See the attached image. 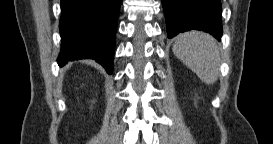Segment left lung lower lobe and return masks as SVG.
<instances>
[{"mask_svg":"<svg viewBox=\"0 0 273 144\" xmlns=\"http://www.w3.org/2000/svg\"><path fill=\"white\" fill-rule=\"evenodd\" d=\"M162 4L168 38L189 30H202L221 40L220 0H162Z\"/></svg>","mask_w":273,"mask_h":144,"instance_id":"1","label":"left lung lower lobe"}]
</instances>
